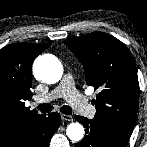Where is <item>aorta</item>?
I'll list each match as a JSON object with an SVG mask.
<instances>
[{
	"label": "aorta",
	"instance_id": "aorta-1",
	"mask_svg": "<svg viewBox=\"0 0 147 147\" xmlns=\"http://www.w3.org/2000/svg\"><path fill=\"white\" fill-rule=\"evenodd\" d=\"M33 73L37 79L47 84H54L61 79L63 67L55 56L45 54L34 61ZM66 135L70 140L80 141L84 137V127L77 122L71 123L66 129Z\"/></svg>",
	"mask_w": 147,
	"mask_h": 147
}]
</instances>
